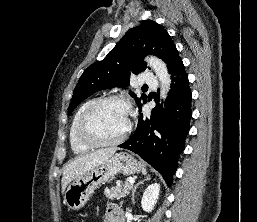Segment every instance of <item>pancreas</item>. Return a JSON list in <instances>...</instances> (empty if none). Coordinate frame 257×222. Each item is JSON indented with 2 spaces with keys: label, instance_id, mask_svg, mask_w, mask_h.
Listing matches in <instances>:
<instances>
[{
  "label": "pancreas",
  "instance_id": "obj_1",
  "mask_svg": "<svg viewBox=\"0 0 257 222\" xmlns=\"http://www.w3.org/2000/svg\"><path fill=\"white\" fill-rule=\"evenodd\" d=\"M132 189V184L129 183L127 180L124 183V187L122 189V182L118 181L116 187H112L111 189H105L104 194L108 199H120L121 197H125L130 193Z\"/></svg>",
  "mask_w": 257,
  "mask_h": 222
}]
</instances>
